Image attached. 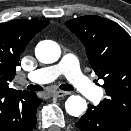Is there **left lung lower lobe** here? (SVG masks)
I'll use <instances>...</instances> for the list:
<instances>
[{"label": "left lung lower lobe", "instance_id": "0a47b994", "mask_svg": "<svg viewBox=\"0 0 131 131\" xmlns=\"http://www.w3.org/2000/svg\"><path fill=\"white\" fill-rule=\"evenodd\" d=\"M75 125L79 131H131L130 124L99 105H89L87 112Z\"/></svg>", "mask_w": 131, "mask_h": 131}]
</instances>
